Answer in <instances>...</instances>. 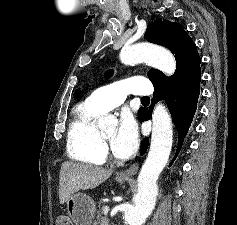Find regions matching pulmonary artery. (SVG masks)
<instances>
[{"label":"pulmonary artery","instance_id":"e3ab8cb5","mask_svg":"<svg viewBox=\"0 0 237 225\" xmlns=\"http://www.w3.org/2000/svg\"><path fill=\"white\" fill-rule=\"evenodd\" d=\"M152 86L144 77H130L96 89L89 97L95 107L107 112L122 104L128 94L149 95Z\"/></svg>","mask_w":237,"mask_h":225}]
</instances>
